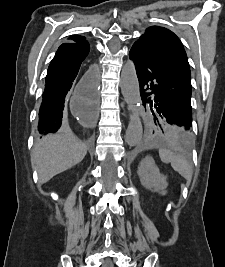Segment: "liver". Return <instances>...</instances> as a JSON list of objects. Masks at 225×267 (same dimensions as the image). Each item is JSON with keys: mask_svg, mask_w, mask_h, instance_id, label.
<instances>
[{"mask_svg": "<svg viewBox=\"0 0 225 267\" xmlns=\"http://www.w3.org/2000/svg\"><path fill=\"white\" fill-rule=\"evenodd\" d=\"M87 154V147L73 134H58L38 141L31 153L32 167L37 170L39 182H48L80 163Z\"/></svg>", "mask_w": 225, "mask_h": 267, "instance_id": "1", "label": "liver"}]
</instances>
